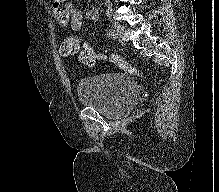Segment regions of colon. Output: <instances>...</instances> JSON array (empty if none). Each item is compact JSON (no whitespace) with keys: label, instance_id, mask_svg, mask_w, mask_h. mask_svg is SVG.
I'll list each match as a JSON object with an SVG mask.
<instances>
[{"label":"colon","instance_id":"1","mask_svg":"<svg viewBox=\"0 0 219 192\" xmlns=\"http://www.w3.org/2000/svg\"><path fill=\"white\" fill-rule=\"evenodd\" d=\"M60 52L62 55L69 57L76 55L79 52L77 39L75 37L66 38L60 46ZM101 56L103 60L115 64L120 69L131 75L138 77L143 76L142 72L138 68L134 67L132 64H130L127 60L120 57L119 55L106 52ZM97 59V53L91 46L84 47L78 55V61L88 67L94 66Z\"/></svg>","mask_w":219,"mask_h":192}]
</instances>
